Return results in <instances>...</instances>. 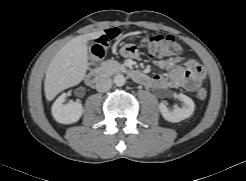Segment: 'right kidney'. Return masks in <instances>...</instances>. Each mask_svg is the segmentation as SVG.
Returning a JSON list of instances; mask_svg holds the SVG:
<instances>
[{
    "instance_id": "1",
    "label": "right kidney",
    "mask_w": 246,
    "mask_h": 181,
    "mask_svg": "<svg viewBox=\"0 0 246 181\" xmlns=\"http://www.w3.org/2000/svg\"><path fill=\"white\" fill-rule=\"evenodd\" d=\"M66 94H62L52 105V116L62 124H72L77 122L83 114L82 104L78 101H71L63 104Z\"/></svg>"
}]
</instances>
